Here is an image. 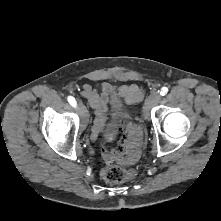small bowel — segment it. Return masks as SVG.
I'll use <instances>...</instances> for the list:
<instances>
[{"instance_id": "small-bowel-1", "label": "small bowel", "mask_w": 221, "mask_h": 221, "mask_svg": "<svg viewBox=\"0 0 221 221\" xmlns=\"http://www.w3.org/2000/svg\"><path fill=\"white\" fill-rule=\"evenodd\" d=\"M115 87L110 83H102L98 89L89 84L82 86L80 95L87 99L94 110L95 119L91 131V139L95 140L105 128L109 117V99ZM121 96L129 102H136L141 97V89L137 85H126L119 88Z\"/></svg>"}]
</instances>
